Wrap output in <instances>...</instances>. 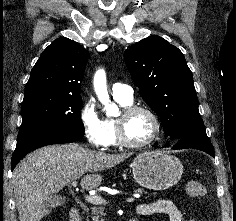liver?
Returning a JSON list of instances; mask_svg holds the SVG:
<instances>
[{
	"label": "liver",
	"instance_id": "1",
	"mask_svg": "<svg viewBox=\"0 0 236 221\" xmlns=\"http://www.w3.org/2000/svg\"><path fill=\"white\" fill-rule=\"evenodd\" d=\"M130 156L97 152L78 144L52 145L32 152L13 172L20 221H40L50 213L48 199L82 176V189L98 187L102 182L98 171L110 169Z\"/></svg>",
	"mask_w": 236,
	"mask_h": 221
}]
</instances>
